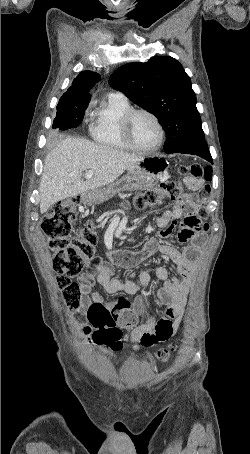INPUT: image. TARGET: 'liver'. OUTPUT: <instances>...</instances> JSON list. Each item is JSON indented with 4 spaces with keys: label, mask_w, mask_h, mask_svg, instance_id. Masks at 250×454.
Segmentation results:
<instances>
[{
    "label": "liver",
    "mask_w": 250,
    "mask_h": 454,
    "mask_svg": "<svg viewBox=\"0 0 250 454\" xmlns=\"http://www.w3.org/2000/svg\"><path fill=\"white\" fill-rule=\"evenodd\" d=\"M144 158L82 138L62 140L47 156L41 177L40 212L56 202L113 183L125 170ZM93 177L82 179L84 171Z\"/></svg>",
    "instance_id": "obj_1"
}]
</instances>
